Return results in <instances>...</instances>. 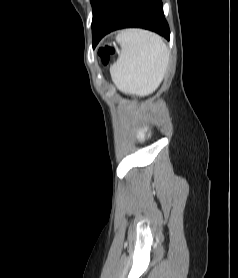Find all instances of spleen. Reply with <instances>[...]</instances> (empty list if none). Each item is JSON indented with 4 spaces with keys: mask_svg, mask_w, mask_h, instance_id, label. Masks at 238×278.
Returning a JSON list of instances; mask_svg holds the SVG:
<instances>
[{
    "mask_svg": "<svg viewBox=\"0 0 238 278\" xmlns=\"http://www.w3.org/2000/svg\"><path fill=\"white\" fill-rule=\"evenodd\" d=\"M117 41L121 52L110 69L117 88L139 95L155 91L169 63V52L163 39L147 30L126 29L118 34Z\"/></svg>",
    "mask_w": 238,
    "mask_h": 278,
    "instance_id": "spleen-1",
    "label": "spleen"
}]
</instances>
